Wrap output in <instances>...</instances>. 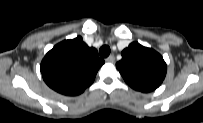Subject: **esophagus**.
Masks as SVG:
<instances>
[{
  "instance_id": "34e87169",
  "label": "esophagus",
  "mask_w": 203,
  "mask_h": 123,
  "mask_svg": "<svg viewBox=\"0 0 203 123\" xmlns=\"http://www.w3.org/2000/svg\"><path fill=\"white\" fill-rule=\"evenodd\" d=\"M106 62L108 63H113L115 61L114 55H110L105 59Z\"/></svg>"
}]
</instances>
